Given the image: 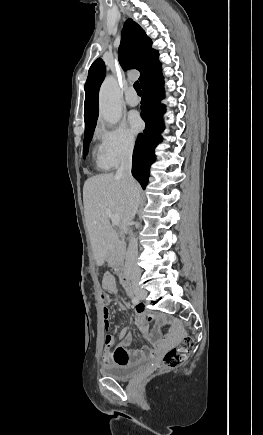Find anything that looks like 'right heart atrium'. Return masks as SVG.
I'll list each match as a JSON object with an SVG mask.
<instances>
[{
  "instance_id": "right-heart-atrium-1",
  "label": "right heart atrium",
  "mask_w": 263,
  "mask_h": 435,
  "mask_svg": "<svg viewBox=\"0 0 263 435\" xmlns=\"http://www.w3.org/2000/svg\"><path fill=\"white\" fill-rule=\"evenodd\" d=\"M96 135L105 159L111 166H117L128 159L135 148V138L125 124L114 126L99 124Z\"/></svg>"
}]
</instances>
